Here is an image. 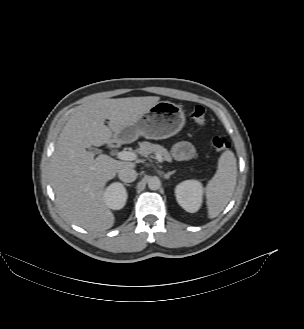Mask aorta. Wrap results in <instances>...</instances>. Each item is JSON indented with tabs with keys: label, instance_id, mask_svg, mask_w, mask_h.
Segmentation results:
<instances>
[{
	"label": "aorta",
	"instance_id": "aorta-1",
	"mask_svg": "<svg viewBox=\"0 0 304 329\" xmlns=\"http://www.w3.org/2000/svg\"><path fill=\"white\" fill-rule=\"evenodd\" d=\"M161 186L160 179L156 176L149 178L148 187L150 190H157Z\"/></svg>",
	"mask_w": 304,
	"mask_h": 329
}]
</instances>
